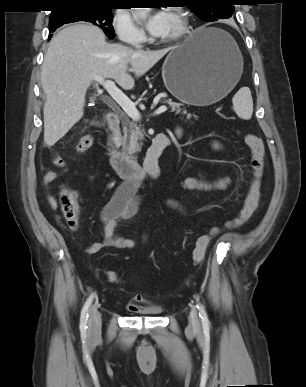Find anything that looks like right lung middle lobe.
I'll use <instances>...</instances> for the list:
<instances>
[{
  "label": "right lung middle lobe",
  "mask_w": 306,
  "mask_h": 387,
  "mask_svg": "<svg viewBox=\"0 0 306 387\" xmlns=\"http://www.w3.org/2000/svg\"><path fill=\"white\" fill-rule=\"evenodd\" d=\"M111 7L104 6H73L51 13L49 30L53 33L56 28L73 22L85 21L100 27L109 38H114L112 26L113 14Z\"/></svg>",
  "instance_id": "1"
}]
</instances>
